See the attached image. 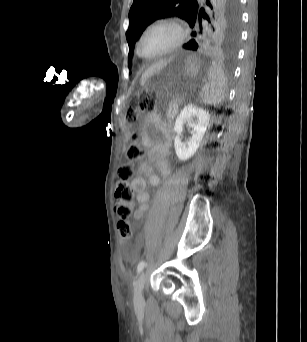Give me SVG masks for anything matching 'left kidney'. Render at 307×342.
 Returning a JSON list of instances; mask_svg holds the SVG:
<instances>
[{"label":"left kidney","mask_w":307,"mask_h":342,"mask_svg":"<svg viewBox=\"0 0 307 342\" xmlns=\"http://www.w3.org/2000/svg\"><path fill=\"white\" fill-rule=\"evenodd\" d=\"M210 114L202 108H197L193 104H188L183 110H181L179 116L176 118L174 130L177 134L174 140V148L177 158L181 162H186L189 158H192L196 154L201 140L207 130L209 124ZM187 122L189 128H192V136L189 138V142L184 144L181 142V136L183 132V126Z\"/></svg>","instance_id":"left-kidney-1"}]
</instances>
